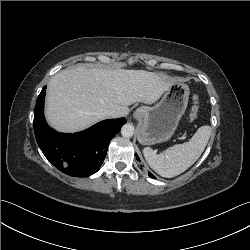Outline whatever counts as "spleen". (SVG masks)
<instances>
[{"instance_id":"3e777b00","label":"spleen","mask_w":250,"mask_h":250,"mask_svg":"<svg viewBox=\"0 0 250 250\" xmlns=\"http://www.w3.org/2000/svg\"><path fill=\"white\" fill-rule=\"evenodd\" d=\"M211 132L210 126H201L189 142L169 147L160 154L146 147L143 150L144 157L149 166L162 177H175L198 160L209 141Z\"/></svg>"}]
</instances>
